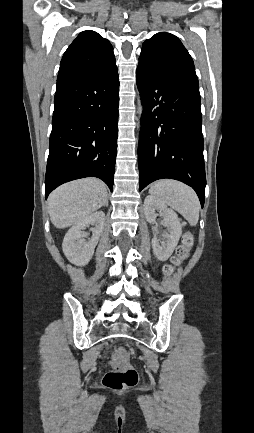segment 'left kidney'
<instances>
[{
  "mask_svg": "<svg viewBox=\"0 0 254 433\" xmlns=\"http://www.w3.org/2000/svg\"><path fill=\"white\" fill-rule=\"evenodd\" d=\"M156 211L163 214V225L167 227L166 242L159 243L154 233L152 248L155 256L160 261H166L173 253L182 234V228L178 215L166 206L160 199L154 196H147L144 200V214L149 223H153L156 218ZM153 231L155 229L153 228Z\"/></svg>",
  "mask_w": 254,
  "mask_h": 433,
  "instance_id": "5707ae66",
  "label": "left kidney"
}]
</instances>
